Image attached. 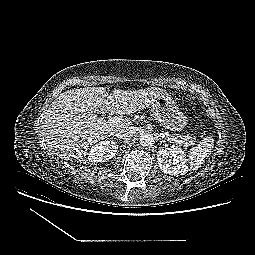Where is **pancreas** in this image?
<instances>
[{"instance_id":"1","label":"pancreas","mask_w":255,"mask_h":255,"mask_svg":"<svg viewBox=\"0 0 255 255\" xmlns=\"http://www.w3.org/2000/svg\"><path fill=\"white\" fill-rule=\"evenodd\" d=\"M167 141H170L172 143H176V144H179V145H183L185 147L187 146H191V145H194L195 143V138L191 137V136H183V135H167L166 137Z\"/></svg>"}]
</instances>
